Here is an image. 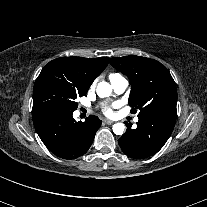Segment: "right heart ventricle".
I'll return each mask as SVG.
<instances>
[{"mask_svg": "<svg viewBox=\"0 0 207 207\" xmlns=\"http://www.w3.org/2000/svg\"><path fill=\"white\" fill-rule=\"evenodd\" d=\"M115 75H118V74H111L109 77H110V80L115 76Z\"/></svg>", "mask_w": 207, "mask_h": 207, "instance_id": "1", "label": "right heart ventricle"}]
</instances>
